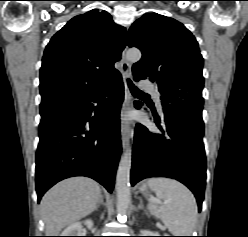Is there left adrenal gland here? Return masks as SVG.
<instances>
[{
  "label": "left adrenal gland",
  "instance_id": "obj_1",
  "mask_svg": "<svg viewBox=\"0 0 248 237\" xmlns=\"http://www.w3.org/2000/svg\"><path fill=\"white\" fill-rule=\"evenodd\" d=\"M139 201H140V204L138 205L137 210H143V209H144V206H143L142 199H141V198H139Z\"/></svg>",
  "mask_w": 248,
  "mask_h": 237
}]
</instances>
